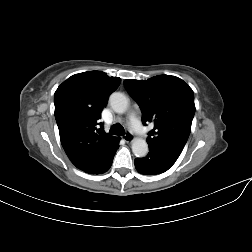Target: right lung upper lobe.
<instances>
[{
	"label": "right lung upper lobe",
	"mask_w": 252,
	"mask_h": 252,
	"mask_svg": "<svg viewBox=\"0 0 252 252\" xmlns=\"http://www.w3.org/2000/svg\"><path fill=\"white\" fill-rule=\"evenodd\" d=\"M120 81L101 71L83 72L68 78L54 94L61 144L72 163L86 173L104 167L111 145L119 138L107 135L98 120Z\"/></svg>",
	"instance_id": "right-lung-upper-lobe-1"
}]
</instances>
